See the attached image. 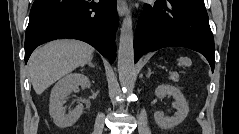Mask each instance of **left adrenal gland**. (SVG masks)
Masks as SVG:
<instances>
[{"mask_svg": "<svg viewBox=\"0 0 239 134\" xmlns=\"http://www.w3.org/2000/svg\"><path fill=\"white\" fill-rule=\"evenodd\" d=\"M151 74H152V71L150 68H148V73H147L146 77L149 78L151 76Z\"/></svg>", "mask_w": 239, "mask_h": 134, "instance_id": "1", "label": "left adrenal gland"}]
</instances>
